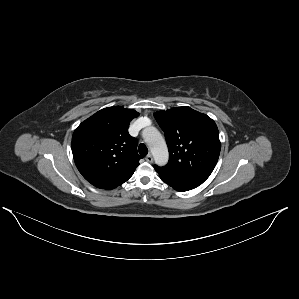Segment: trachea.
Wrapping results in <instances>:
<instances>
[{"mask_svg":"<svg viewBox=\"0 0 299 299\" xmlns=\"http://www.w3.org/2000/svg\"><path fill=\"white\" fill-rule=\"evenodd\" d=\"M138 151H139L140 155H142V156H146L148 154V148L143 143H141L139 145Z\"/></svg>","mask_w":299,"mask_h":299,"instance_id":"1","label":"trachea"}]
</instances>
